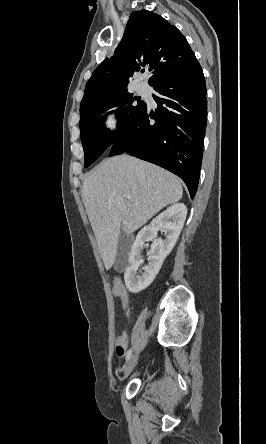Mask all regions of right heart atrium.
I'll return each instance as SVG.
<instances>
[{
  "mask_svg": "<svg viewBox=\"0 0 266 444\" xmlns=\"http://www.w3.org/2000/svg\"><path fill=\"white\" fill-rule=\"evenodd\" d=\"M120 128V118L118 114L111 110L107 112L102 120V130L106 134H114Z\"/></svg>",
  "mask_w": 266,
  "mask_h": 444,
  "instance_id": "right-heart-atrium-1",
  "label": "right heart atrium"
}]
</instances>
